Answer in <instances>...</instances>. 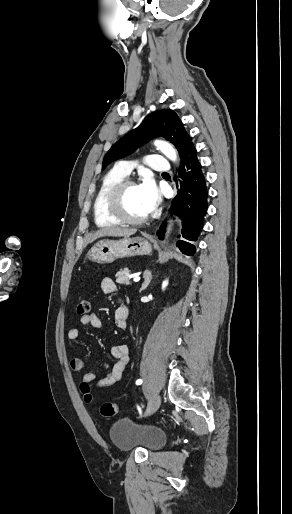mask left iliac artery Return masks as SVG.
<instances>
[{
    "label": "left iliac artery",
    "mask_w": 292,
    "mask_h": 514,
    "mask_svg": "<svg viewBox=\"0 0 292 514\" xmlns=\"http://www.w3.org/2000/svg\"><path fill=\"white\" fill-rule=\"evenodd\" d=\"M142 382H143V381H142V379H138V380L136 381V385H140V384H142ZM137 408H138V411H139V413H140V415H141V413H142V412H141V408H140L139 406H138Z\"/></svg>",
    "instance_id": "1"
}]
</instances>
